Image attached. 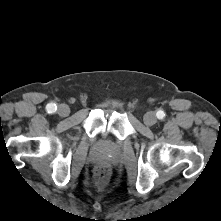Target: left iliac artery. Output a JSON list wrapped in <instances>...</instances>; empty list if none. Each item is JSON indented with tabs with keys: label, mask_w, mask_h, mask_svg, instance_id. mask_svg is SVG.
<instances>
[{
	"label": "left iliac artery",
	"mask_w": 221,
	"mask_h": 221,
	"mask_svg": "<svg viewBox=\"0 0 221 221\" xmlns=\"http://www.w3.org/2000/svg\"><path fill=\"white\" fill-rule=\"evenodd\" d=\"M156 116L158 119H163L165 117V113L162 110L157 111Z\"/></svg>",
	"instance_id": "left-iliac-artery-1"
}]
</instances>
